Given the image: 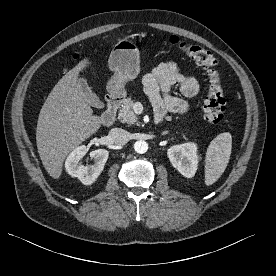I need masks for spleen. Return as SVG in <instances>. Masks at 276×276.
<instances>
[{
    "label": "spleen",
    "mask_w": 276,
    "mask_h": 276,
    "mask_svg": "<svg viewBox=\"0 0 276 276\" xmlns=\"http://www.w3.org/2000/svg\"><path fill=\"white\" fill-rule=\"evenodd\" d=\"M232 136L229 132L217 135L210 143L205 158V184L215 183L224 173L230 159Z\"/></svg>",
    "instance_id": "3e777b00"
}]
</instances>
